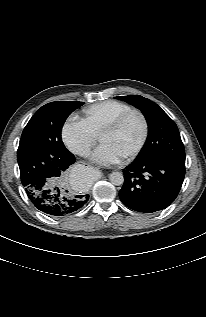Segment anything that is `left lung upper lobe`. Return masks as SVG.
I'll return each mask as SVG.
<instances>
[{
	"label": "left lung upper lobe",
	"instance_id": "5c2ea615",
	"mask_svg": "<svg viewBox=\"0 0 206 317\" xmlns=\"http://www.w3.org/2000/svg\"><path fill=\"white\" fill-rule=\"evenodd\" d=\"M142 111L148 139L136 160L166 158L185 162V150L174 121L153 101L140 95L117 97Z\"/></svg>",
	"mask_w": 206,
	"mask_h": 317
}]
</instances>
